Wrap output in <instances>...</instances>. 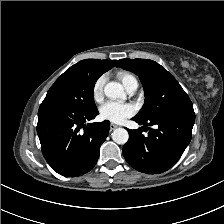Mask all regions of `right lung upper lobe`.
<instances>
[{"instance_id": "1", "label": "right lung upper lobe", "mask_w": 224, "mask_h": 224, "mask_svg": "<svg viewBox=\"0 0 224 224\" xmlns=\"http://www.w3.org/2000/svg\"><path fill=\"white\" fill-rule=\"evenodd\" d=\"M82 62L92 66L93 68L105 73L109 69L115 66L116 60H99V59H86Z\"/></svg>"}]
</instances>
